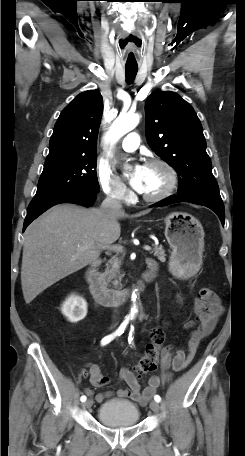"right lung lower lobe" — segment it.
Wrapping results in <instances>:
<instances>
[{
	"instance_id": "obj_1",
	"label": "right lung lower lobe",
	"mask_w": 245,
	"mask_h": 456,
	"mask_svg": "<svg viewBox=\"0 0 245 456\" xmlns=\"http://www.w3.org/2000/svg\"><path fill=\"white\" fill-rule=\"evenodd\" d=\"M96 194V192H73L59 194L56 196L47 197L40 200H32L27 210V216L24 221L23 231L35 218H37L50 207L60 203H74L85 207H90L93 205L95 201Z\"/></svg>"
}]
</instances>
